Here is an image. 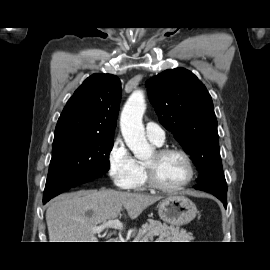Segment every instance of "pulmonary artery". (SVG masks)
<instances>
[{"label":"pulmonary artery","instance_id":"pulmonary-artery-1","mask_svg":"<svg viewBox=\"0 0 270 270\" xmlns=\"http://www.w3.org/2000/svg\"><path fill=\"white\" fill-rule=\"evenodd\" d=\"M146 135L148 139L157 145H161L165 140L164 130L154 122H148L146 124Z\"/></svg>","mask_w":270,"mask_h":270}]
</instances>
